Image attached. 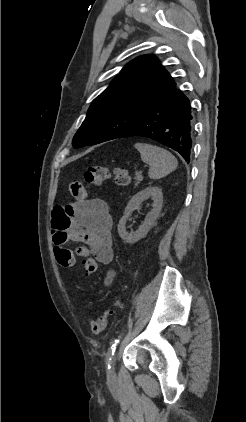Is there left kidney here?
<instances>
[{"instance_id": "5707ae66", "label": "left kidney", "mask_w": 246, "mask_h": 422, "mask_svg": "<svg viewBox=\"0 0 246 422\" xmlns=\"http://www.w3.org/2000/svg\"><path fill=\"white\" fill-rule=\"evenodd\" d=\"M148 198L153 200V209L146 215L142 225L135 232L128 233L126 231V222L133 210L139 208L142 202ZM163 194L161 188L157 186L147 187L144 190L135 194L128 202L124 214L118 224V233L121 239L129 244H133L144 238L149 232L150 228L154 226L162 209Z\"/></svg>"}]
</instances>
